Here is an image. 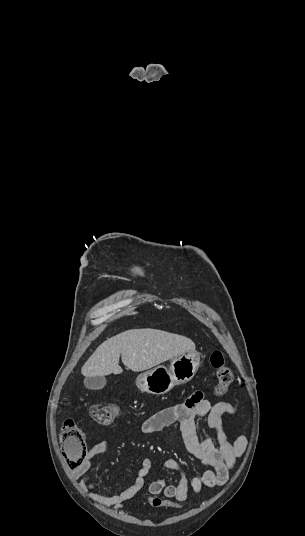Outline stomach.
<instances>
[{"label": "stomach", "mask_w": 305, "mask_h": 536, "mask_svg": "<svg viewBox=\"0 0 305 536\" xmlns=\"http://www.w3.org/2000/svg\"><path fill=\"white\" fill-rule=\"evenodd\" d=\"M200 366V354L196 350L180 354L172 360L169 368L157 366L136 378V386L147 394H167L174 386L187 384L194 378Z\"/></svg>", "instance_id": "stomach-1"}]
</instances>
